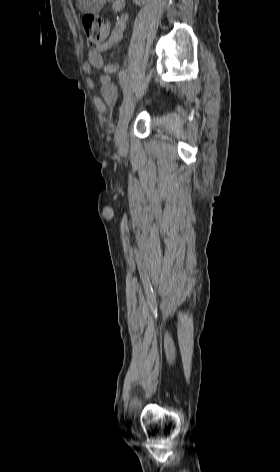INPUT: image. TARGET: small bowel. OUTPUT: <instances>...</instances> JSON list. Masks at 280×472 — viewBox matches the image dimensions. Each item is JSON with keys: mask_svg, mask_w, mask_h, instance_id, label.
Wrapping results in <instances>:
<instances>
[{"mask_svg": "<svg viewBox=\"0 0 280 472\" xmlns=\"http://www.w3.org/2000/svg\"><path fill=\"white\" fill-rule=\"evenodd\" d=\"M125 28L126 23L119 21L107 43L101 47V50H105L111 45L118 43L123 36ZM93 69H101L104 72L100 76L98 83L91 79L89 80V86L93 90V103L100 112L104 113L108 107L115 104L118 97L119 88L112 82L111 75L119 72V66L114 62L106 63L100 50H93L89 53L88 60L83 64V70L86 73H91Z\"/></svg>", "mask_w": 280, "mask_h": 472, "instance_id": "obj_1", "label": "small bowel"}]
</instances>
